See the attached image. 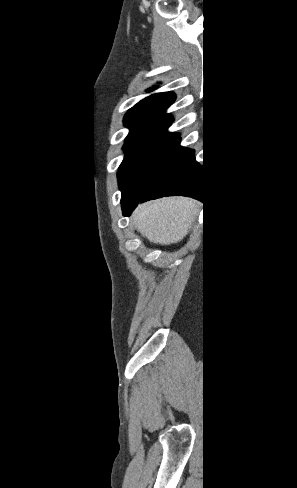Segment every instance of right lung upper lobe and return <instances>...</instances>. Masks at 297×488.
Here are the masks:
<instances>
[{
    "label": "right lung upper lobe",
    "mask_w": 297,
    "mask_h": 488,
    "mask_svg": "<svg viewBox=\"0 0 297 488\" xmlns=\"http://www.w3.org/2000/svg\"><path fill=\"white\" fill-rule=\"evenodd\" d=\"M172 92L151 95L134 107L124 117V124L130 128V133H167L173 119L165 110L174 102Z\"/></svg>",
    "instance_id": "obj_1"
}]
</instances>
